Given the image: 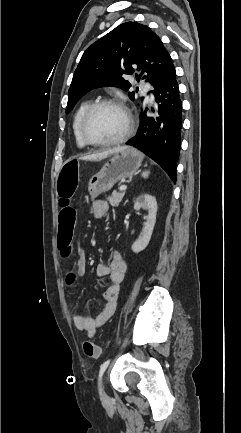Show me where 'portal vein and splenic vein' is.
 I'll list each match as a JSON object with an SVG mask.
<instances>
[{
    "instance_id": "obj_1",
    "label": "portal vein and splenic vein",
    "mask_w": 241,
    "mask_h": 433,
    "mask_svg": "<svg viewBox=\"0 0 241 433\" xmlns=\"http://www.w3.org/2000/svg\"><path fill=\"white\" fill-rule=\"evenodd\" d=\"M126 189H127V186H126V185H122V186H120V188H119L120 191H125Z\"/></svg>"
}]
</instances>
